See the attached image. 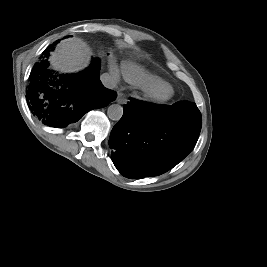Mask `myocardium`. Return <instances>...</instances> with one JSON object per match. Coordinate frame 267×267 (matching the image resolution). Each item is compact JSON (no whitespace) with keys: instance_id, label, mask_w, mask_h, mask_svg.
I'll return each instance as SVG.
<instances>
[{"instance_id":"obj_1","label":"myocardium","mask_w":267,"mask_h":267,"mask_svg":"<svg viewBox=\"0 0 267 267\" xmlns=\"http://www.w3.org/2000/svg\"><path fill=\"white\" fill-rule=\"evenodd\" d=\"M174 91L168 84L146 87L145 95L147 99L154 103H163L172 98Z\"/></svg>"}]
</instances>
